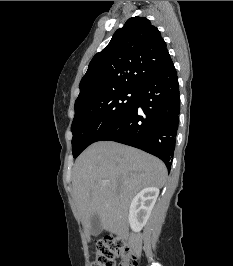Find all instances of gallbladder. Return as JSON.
I'll return each mask as SVG.
<instances>
[{"label":"gallbladder","instance_id":"1","mask_svg":"<svg viewBox=\"0 0 233 266\" xmlns=\"http://www.w3.org/2000/svg\"><path fill=\"white\" fill-rule=\"evenodd\" d=\"M103 231L100 218L97 214H94L90 220V232L93 236L99 235Z\"/></svg>","mask_w":233,"mask_h":266}]
</instances>
